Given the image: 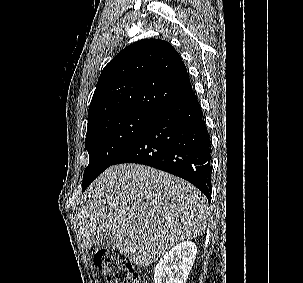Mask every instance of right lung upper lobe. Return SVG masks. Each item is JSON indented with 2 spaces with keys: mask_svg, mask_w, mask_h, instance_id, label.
Instances as JSON below:
<instances>
[{
  "mask_svg": "<svg viewBox=\"0 0 303 283\" xmlns=\"http://www.w3.org/2000/svg\"><path fill=\"white\" fill-rule=\"evenodd\" d=\"M192 92L180 55L159 39L137 41L103 69L88 113V127L118 113L157 114Z\"/></svg>",
  "mask_w": 303,
  "mask_h": 283,
  "instance_id": "cb5924a9",
  "label": "right lung upper lobe"
}]
</instances>
